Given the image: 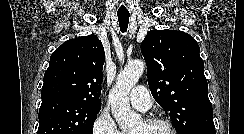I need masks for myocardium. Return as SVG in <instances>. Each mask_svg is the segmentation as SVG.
Here are the masks:
<instances>
[{
	"instance_id": "1",
	"label": "myocardium",
	"mask_w": 244,
	"mask_h": 134,
	"mask_svg": "<svg viewBox=\"0 0 244 134\" xmlns=\"http://www.w3.org/2000/svg\"><path fill=\"white\" fill-rule=\"evenodd\" d=\"M144 123L148 126L162 125L165 126L170 131L171 134H179L175 126L170 121L165 119L150 118L144 120Z\"/></svg>"
}]
</instances>
